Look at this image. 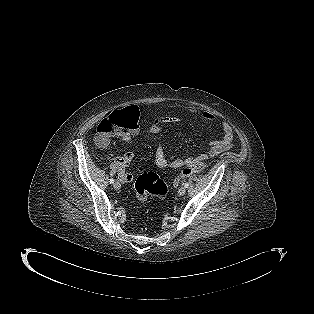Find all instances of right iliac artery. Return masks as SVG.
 Returning a JSON list of instances; mask_svg holds the SVG:
<instances>
[{
    "label": "right iliac artery",
    "mask_w": 314,
    "mask_h": 314,
    "mask_svg": "<svg viewBox=\"0 0 314 314\" xmlns=\"http://www.w3.org/2000/svg\"><path fill=\"white\" fill-rule=\"evenodd\" d=\"M110 183H111V184L114 183V179H113V178L110 179Z\"/></svg>",
    "instance_id": "1"
}]
</instances>
